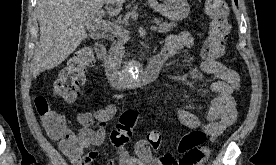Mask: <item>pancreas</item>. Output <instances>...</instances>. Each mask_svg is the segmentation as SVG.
<instances>
[{
  "instance_id": "1",
  "label": "pancreas",
  "mask_w": 276,
  "mask_h": 165,
  "mask_svg": "<svg viewBox=\"0 0 276 165\" xmlns=\"http://www.w3.org/2000/svg\"><path fill=\"white\" fill-rule=\"evenodd\" d=\"M154 22L158 25L157 31L159 33H168L176 26L175 23L164 22L157 18L154 19ZM126 40V36L118 38V41L114 42L109 50V59L116 65H119L122 61V57L124 56L123 44Z\"/></svg>"
}]
</instances>
